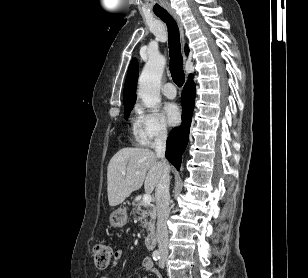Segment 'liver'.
Masks as SVG:
<instances>
[{
	"instance_id": "liver-1",
	"label": "liver",
	"mask_w": 308,
	"mask_h": 278,
	"mask_svg": "<svg viewBox=\"0 0 308 278\" xmlns=\"http://www.w3.org/2000/svg\"><path fill=\"white\" fill-rule=\"evenodd\" d=\"M162 173L163 163L152 150L131 147L120 149L111 158L107 168L109 205L114 207L121 204L133 191L141 188L143 183L145 191L151 193Z\"/></svg>"
}]
</instances>
